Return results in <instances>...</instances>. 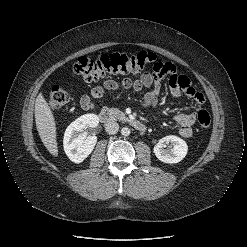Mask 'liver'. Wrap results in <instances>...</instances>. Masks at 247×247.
I'll return each instance as SVG.
<instances>
[{
	"label": "liver",
	"instance_id": "obj_1",
	"mask_svg": "<svg viewBox=\"0 0 247 247\" xmlns=\"http://www.w3.org/2000/svg\"><path fill=\"white\" fill-rule=\"evenodd\" d=\"M35 122L38 134L46 149L53 156H58L56 123L53 113L42 93L35 100Z\"/></svg>",
	"mask_w": 247,
	"mask_h": 247
}]
</instances>
